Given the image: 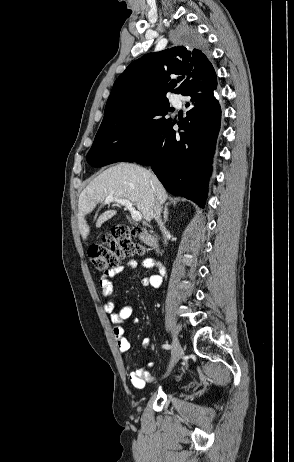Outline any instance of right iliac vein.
<instances>
[{
	"instance_id": "obj_1",
	"label": "right iliac vein",
	"mask_w": 294,
	"mask_h": 462,
	"mask_svg": "<svg viewBox=\"0 0 294 462\" xmlns=\"http://www.w3.org/2000/svg\"><path fill=\"white\" fill-rule=\"evenodd\" d=\"M183 353L182 346L178 340L177 337H174L173 339V347H172V356L169 364V370H172V368L176 365V363L179 361Z\"/></svg>"
}]
</instances>
